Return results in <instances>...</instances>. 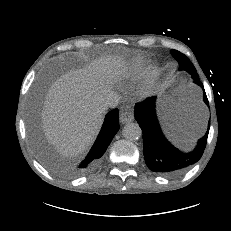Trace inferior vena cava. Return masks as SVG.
I'll use <instances>...</instances> for the list:
<instances>
[{
	"mask_svg": "<svg viewBox=\"0 0 231 231\" xmlns=\"http://www.w3.org/2000/svg\"><path fill=\"white\" fill-rule=\"evenodd\" d=\"M120 100L119 95L116 92H110L105 99V106L114 108L118 105Z\"/></svg>",
	"mask_w": 231,
	"mask_h": 231,
	"instance_id": "obj_1",
	"label": "inferior vena cava"
}]
</instances>
